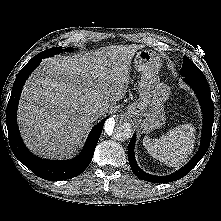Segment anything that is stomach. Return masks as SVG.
<instances>
[{"label": "stomach", "instance_id": "1", "mask_svg": "<svg viewBox=\"0 0 221 221\" xmlns=\"http://www.w3.org/2000/svg\"><path fill=\"white\" fill-rule=\"evenodd\" d=\"M161 66L157 52L142 49L136 53L134 67L141 74L139 99L128 105L127 112L144 133L161 127L166 120L164 103L169 98L170 88L159 80Z\"/></svg>", "mask_w": 221, "mask_h": 221}]
</instances>
